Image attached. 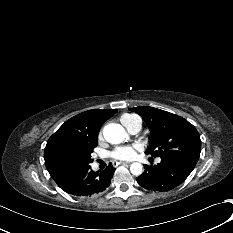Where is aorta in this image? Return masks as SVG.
Wrapping results in <instances>:
<instances>
[{
  "label": "aorta",
  "instance_id": "762f6f07",
  "mask_svg": "<svg viewBox=\"0 0 233 233\" xmlns=\"http://www.w3.org/2000/svg\"><path fill=\"white\" fill-rule=\"evenodd\" d=\"M103 136L110 144H120L128 139V134L120 124L110 123L103 129ZM130 171L133 175L139 176L143 171L141 163L134 162L130 166Z\"/></svg>",
  "mask_w": 233,
  "mask_h": 233
}]
</instances>
